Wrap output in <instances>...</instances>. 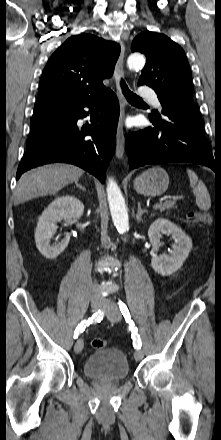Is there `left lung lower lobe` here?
<instances>
[{"mask_svg": "<svg viewBox=\"0 0 221 440\" xmlns=\"http://www.w3.org/2000/svg\"><path fill=\"white\" fill-rule=\"evenodd\" d=\"M153 126L127 136L126 151L132 169L146 164L192 162L215 172L221 163L214 160L211 145L203 132L204 122L176 109H163L162 116L150 115Z\"/></svg>", "mask_w": 221, "mask_h": 440, "instance_id": "0a47b994", "label": "left lung lower lobe"}]
</instances>
